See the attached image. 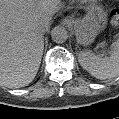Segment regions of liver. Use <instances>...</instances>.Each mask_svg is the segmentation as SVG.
Listing matches in <instances>:
<instances>
[{
	"label": "liver",
	"instance_id": "1",
	"mask_svg": "<svg viewBox=\"0 0 119 119\" xmlns=\"http://www.w3.org/2000/svg\"><path fill=\"white\" fill-rule=\"evenodd\" d=\"M60 1L0 0V85L23 87L33 81L43 55V33ZM42 22L48 23L44 29Z\"/></svg>",
	"mask_w": 119,
	"mask_h": 119
}]
</instances>
